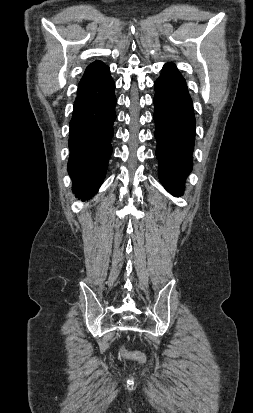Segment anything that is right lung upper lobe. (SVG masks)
Returning a JSON list of instances; mask_svg holds the SVG:
<instances>
[{"label": "right lung upper lobe", "instance_id": "cb5924a9", "mask_svg": "<svg viewBox=\"0 0 253 413\" xmlns=\"http://www.w3.org/2000/svg\"><path fill=\"white\" fill-rule=\"evenodd\" d=\"M108 66H106L103 62L101 61H95L91 63L88 68L86 69L79 85L78 88L83 87L87 84H89L95 77L98 76L102 71H104Z\"/></svg>", "mask_w": 253, "mask_h": 413}]
</instances>
